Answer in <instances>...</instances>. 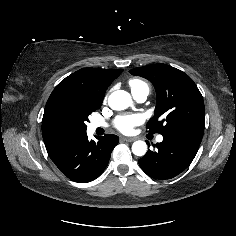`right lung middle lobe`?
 <instances>
[{"label": "right lung middle lobe", "mask_w": 236, "mask_h": 236, "mask_svg": "<svg viewBox=\"0 0 236 236\" xmlns=\"http://www.w3.org/2000/svg\"><path fill=\"white\" fill-rule=\"evenodd\" d=\"M101 102L79 99L64 89H54L44 114L56 129L71 134L86 133L88 116L101 107Z\"/></svg>", "instance_id": "1"}]
</instances>
